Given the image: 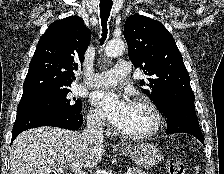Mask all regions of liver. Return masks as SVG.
<instances>
[{
	"mask_svg": "<svg viewBox=\"0 0 224 174\" xmlns=\"http://www.w3.org/2000/svg\"><path fill=\"white\" fill-rule=\"evenodd\" d=\"M105 145L89 142L81 133L56 127L24 131L12 144L10 174H50L65 163L98 165Z\"/></svg>",
	"mask_w": 224,
	"mask_h": 174,
	"instance_id": "liver-1",
	"label": "liver"
}]
</instances>
